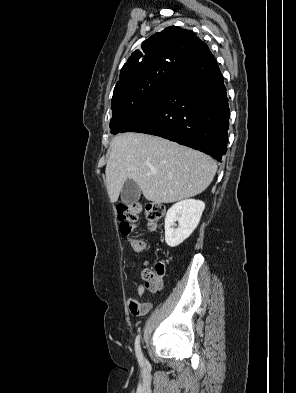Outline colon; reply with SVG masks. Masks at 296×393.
Wrapping results in <instances>:
<instances>
[{"label":"colon","mask_w":296,"mask_h":393,"mask_svg":"<svg viewBox=\"0 0 296 393\" xmlns=\"http://www.w3.org/2000/svg\"><path fill=\"white\" fill-rule=\"evenodd\" d=\"M142 211L145 212L149 226L154 228L164 217L165 207L161 203L148 201L132 205H121L118 209L121 236L130 242L136 252H141L145 248L143 239L134 234L135 224ZM162 272L163 267L161 264H157L153 270L148 269L144 271V280L151 289H155L159 285Z\"/></svg>","instance_id":"5ec220e1"}]
</instances>
